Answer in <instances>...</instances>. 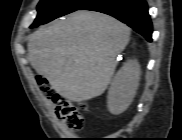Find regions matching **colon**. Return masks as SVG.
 <instances>
[{
  "label": "colon",
  "instance_id": "colon-1",
  "mask_svg": "<svg viewBox=\"0 0 182 140\" xmlns=\"http://www.w3.org/2000/svg\"><path fill=\"white\" fill-rule=\"evenodd\" d=\"M38 84L42 93L49 99H52L57 116L64 121L66 126L75 131L81 129L83 125L82 111L85 110V106H76L65 102L54 93L52 88L43 78H38Z\"/></svg>",
  "mask_w": 182,
  "mask_h": 140
}]
</instances>
